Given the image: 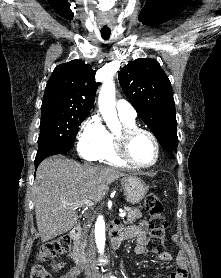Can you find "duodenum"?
<instances>
[{
    "instance_id": "410a0bca",
    "label": "duodenum",
    "mask_w": 221,
    "mask_h": 278,
    "mask_svg": "<svg viewBox=\"0 0 221 278\" xmlns=\"http://www.w3.org/2000/svg\"><path fill=\"white\" fill-rule=\"evenodd\" d=\"M81 227H74L70 233L72 240L74 241V247L72 250V258L78 268L84 266L85 263V253L79 245L81 239ZM126 229L121 228L119 225L112 223L110 226V241L114 249H118L121 243L128 239Z\"/></svg>"
}]
</instances>
